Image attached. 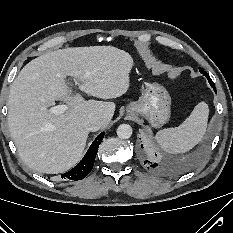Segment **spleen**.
Instances as JSON below:
<instances>
[{
  "instance_id": "1",
  "label": "spleen",
  "mask_w": 233,
  "mask_h": 233,
  "mask_svg": "<svg viewBox=\"0 0 233 233\" xmlns=\"http://www.w3.org/2000/svg\"><path fill=\"white\" fill-rule=\"evenodd\" d=\"M209 108L205 102L198 103L190 116L175 128H165L156 134V140L169 153H183L199 143L206 132Z\"/></svg>"
}]
</instances>
